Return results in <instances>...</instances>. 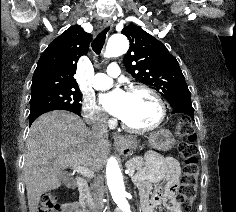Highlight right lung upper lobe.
I'll return each instance as SVG.
<instances>
[{"mask_svg": "<svg viewBox=\"0 0 236 212\" xmlns=\"http://www.w3.org/2000/svg\"><path fill=\"white\" fill-rule=\"evenodd\" d=\"M92 35L80 26L68 28L41 55L35 69L31 93L49 89H78L74 79L77 60L86 55Z\"/></svg>", "mask_w": 236, "mask_h": 212, "instance_id": "1", "label": "right lung upper lobe"}]
</instances>
